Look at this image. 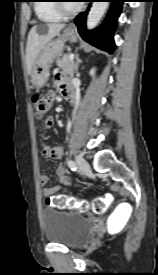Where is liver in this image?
<instances>
[{
  "label": "liver",
  "mask_w": 158,
  "mask_h": 275,
  "mask_svg": "<svg viewBox=\"0 0 158 275\" xmlns=\"http://www.w3.org/2000/svg\"><path fill=\"white\" fill-rule=\"evenodd\" d=\"M65 27V24L51 23L32 27L26 45L27 71L30 74L33 63L43 46L53 39Z\"/></svg>",
  "instance_id": "6515ba94"
}]
</instances>
